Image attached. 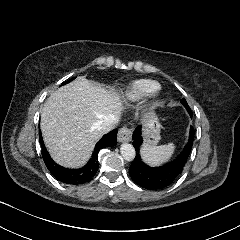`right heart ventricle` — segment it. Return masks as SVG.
<instances>
[{
	"mask_svg": "<svg viewBox=\"0 0 240 240\" xmlns=\"http://www.w3.org/2000/svg\"><path fill=\"white\" fill-rule=\"evenodd\" d=\"M157 88V83L149 80H138L133 82L130 86L120 89L114 93V102L120 105L126 101H136Z\"/></svg>",
	"mask_w": 240,
	"mask_h": 240,
	"instance_id": "1",
	"label": "right heart ventricle"
}]
</instances>
